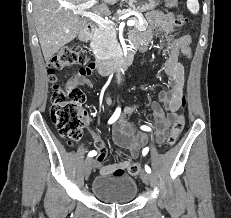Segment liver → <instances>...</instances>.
Segmentation results:
<instances>
[{
	"label": "liver",
	"mask_w": 231,
	"mask_h": 218,
	"mask_svg": "<svg viewBox=\"0 0 231 218\" xmlns=\"http://www.w3.org/2000/svg\"><path fill=\"white\" fill-rule=\"evenodd\" d=\"M89 1V0H88ZM87 0H33V16L39 43L46 62L63 46L70 43L84 30V22L68 6L86 3ZM94 11L110 14L107 6L118 0H102Z\"/></svg>",
	"instance_id": "obj_1"
}]
</instances>
